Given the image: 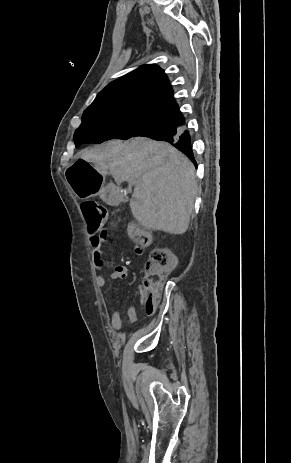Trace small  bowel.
I'll return each mask as SVG.
<instances>
[{
  "instance_id": "small-bowel-1",
  "label": "small bowel",
  "mask_w": 291,
  "mask_h": 463,
  "mask_svg": "<svg viewBox=\"0 0 291 463\" xmlns=\"http://www.w3.org/2000/svg\"><path fill=\"white\" fill-rule=\"evenodd\" d=\"M107 238V230H101L99 232H90L88 234V242L90 247L93 251V258L95 261L96 266L100 269H104V261L102 256V245ZM144 249V245L142 244H135L133 251L135 254L140 255L142 254ZM128 269L127 266L124 264L116 265L113 270L107 272V277L110 279H124L127 277ZM96 283L99 287H105L107 285V279L103 276L97 278ZM140 299L139 304L144 305V298L142 296V291L140 289ZM128 316L131 322H135L137 320L136 314V306L134 304H130L128 307ZM111 325L114 329L118 330L121 328L122 319L121 314L118 310H114L111 316Z\"/></svg>"
}]
</instances>
